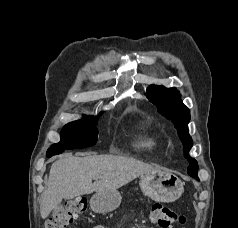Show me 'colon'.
Masks as SVG:
<instances>
[{"label": "colon", "mask_w": 238, "mask_h": 228, "mask_svg": "<svg viewBox=\"0 0 238 228\" xmlns=\"http://www.w3.org/2000/svg\"><path fill=\"white\" fill-rule=\"evenodd\" d=\"M87 202L84 198H77L66 206L58 209L46 221L45 228H68L86 210ZM149 219L159 228H173L185 224V217L160 203L151 206Z\"/></svg>", "instance_id": "1"}]
</instances>
